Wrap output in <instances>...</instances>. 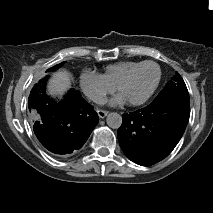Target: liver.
Listing matches in <instances>:
<instances>
[{"label":"liver","mask_w":213,"mask_h":213,"mask_svg":"<svg viewBox=\"0 0 213 213\" xmlns=\"http://www.w3.org/2000/svg\"><path fill=\"white\" fill-rule=\"evenodd\" d=\"M71 78L67 71H58L52 75L48 83V93L52 96L61 97L70 87Z\"/></svg>","instance_id":"1"}]
</instances>
